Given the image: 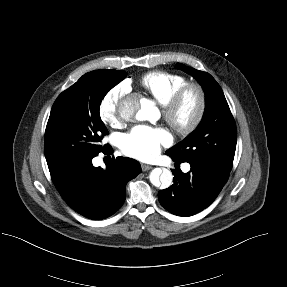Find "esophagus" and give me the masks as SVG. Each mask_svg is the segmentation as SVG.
<instances>
[{
    "mask_svg": "<svg viewBox=\"0 0 287 287\" xmlns=\"http://www.w3.org/2000/svg\"><path fill=\"white\" fill-rule=\"evenodd\" d=\"M141 168H142V171H148V170L152 169V166L147 165V164H141Z\"/></svg>",
    "mask_w": 287,
    "mask_h": 287,
    "instance_id": "esophagus-1",
    "label": "esophagus"
}]
</instances>
